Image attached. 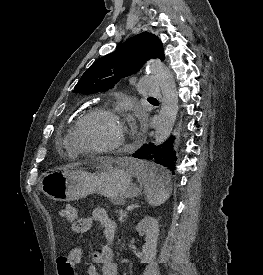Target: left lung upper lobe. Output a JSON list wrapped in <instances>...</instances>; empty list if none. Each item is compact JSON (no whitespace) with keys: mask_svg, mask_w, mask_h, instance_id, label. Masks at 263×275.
Returning <instances> with one entry per match:
<instances>
[{"mask_svg":"<svg viewBox=\"0 0 263 275\" xmlns=\"http://www.w3.org/2000/svg\"><path fill=\"white\" fill-rule=\"evenodd\" d=\"M152 58L165 59L160 39L148 32L131 37L114 52L89 67L73 92L82 94L105 92L121 78L137 73L142 65Z\"/></svg>","mask_w":263,"mask_h":275,"instance_id":"obj_1","label":"left lung upper lobe"}]
</instances>
